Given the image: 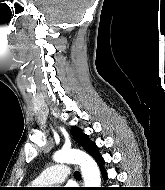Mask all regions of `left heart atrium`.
<instances>
[{
  "mask_svg": "<svg viewBox=\"0 0 165 190\" xmlns=\"http://www.w3.org/2000/svg\"><path fill=\"white\" fill-rule=\"evenodd\" d=\"M65 190H71V188H69V187H66V188H65Z\"/></svg>",
  "mask_w": 165,
  "mask_h": 190,
  "instance_id": "39dd6f15",
  "label": "left heart atrium"
}]
</instances>
